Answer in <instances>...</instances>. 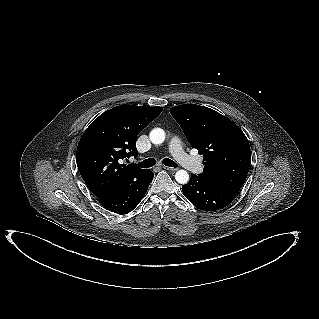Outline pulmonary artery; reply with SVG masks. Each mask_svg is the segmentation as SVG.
<instances>
[{"label":"pulmonary artery","mask_w":319,"mask_h":319,"mask_svg":"<svg viewBox=\"0 0 319 319\" xmlns=\"http://www.w3.org/2000/svg\"><path fill=\"white\" fill-rule=\"evenodd\" d=\"M169 150L174 158L187 170L200 173L203 170V166L195 157L188 155L182 148L181 141L178 137L171 139L169 144Z\"/></svg>","instance_id":"obj_1"}]
</instances>
